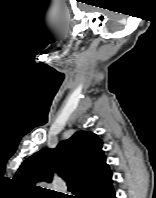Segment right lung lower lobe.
<instances>
[{"mask_svg": "<svg viewBox=\"0 0 156 198\" xmlns=\"http://www.w3.org/2000/svg\"><path fill=\"white\" fill-rule=\"evenodd\" d=\"M99 198H116L113 187H111L109 190H107L105 193L99 196Z\"/></svg>", "mask_w": 156, "mask_h": 198, "instance_id": "1", "label": "right lung lower lobe"}]
</instances>
